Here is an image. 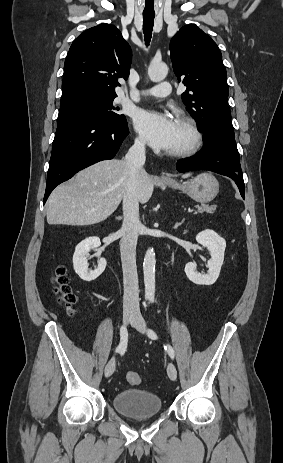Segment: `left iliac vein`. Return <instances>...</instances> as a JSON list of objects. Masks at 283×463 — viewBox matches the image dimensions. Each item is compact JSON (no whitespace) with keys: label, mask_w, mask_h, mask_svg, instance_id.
<instances>
[{"label":"left iliac vein","mask_w":283,"mask_h":463,"mask_svg":"<svg viewBox=\"0 0 283 463\" xmlns=\"http://www.w3.org/2000/svg\"><path fill=\"white\" fill-rule=\"evenodd\" d=\"M132 325L141 333L146 332V322L140 312H136L134 318L131 320ZM167 374L173 381L177 378V370L173 363L167 366Z\"/></svg>","instance_id":"left-iliac-vein-1"}]
</instances>
